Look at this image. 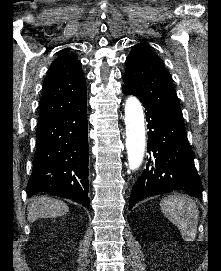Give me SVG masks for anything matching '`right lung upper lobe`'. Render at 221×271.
<instances>
[{
	"instance_id": "right-lung-upper-lobe-1",
	"label": "right lung upper lobe",
	"mask_w": 221,
	"mask_h": 271,
	"mask_svg": "<svg viewBox=\"0 0 221 271\" xmlns=\"http://www.w3.org/2000/svg\"><path fill=\"white\" fill-rule=\"evenodd\" d=\"M86 105V80L81 62L67 48L55 59L43 83L38 121L78 110Z\"/></svg>"
}]
</instances>
